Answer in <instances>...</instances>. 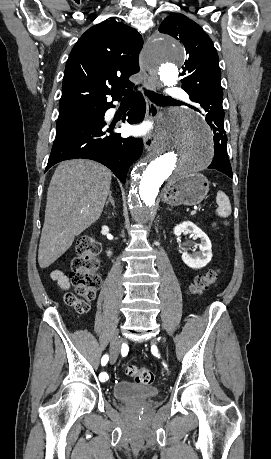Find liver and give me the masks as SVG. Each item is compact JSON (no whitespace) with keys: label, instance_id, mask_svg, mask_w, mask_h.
Masks as SVG:
<instances>
[{"label":"liver","instance_id":"liver-1","mask_svg":"<svg viewBox=\"0 0 271 459\" xmlns=\"http://www.w3.org/2000/svg\"><path fill=\"white\" fill-rule=\"evenodd\" d=\"M112 172L93 160H66L56 168L47 192L45 222L38 249L48 267L69 249L75 235L101 216Z\"/></svg>","mask_w":271,"mask_h":459}]
</instances>
